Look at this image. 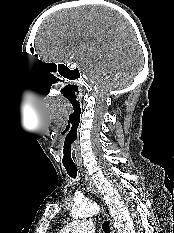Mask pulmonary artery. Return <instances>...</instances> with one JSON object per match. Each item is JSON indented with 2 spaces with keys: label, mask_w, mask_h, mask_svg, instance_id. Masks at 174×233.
Returning a JSON list of instances; mask_svg holds the SVG:
<instances>
[{
  "label": "pulmonary artery",
  "mask_w": 174,
  "mask_h": 233,
  "mask_svg": "<svg viewBox=\"0 0 174 233\" xmlns=\"http://www.w3.org/2000/svg\"><path fill=\"white\" fill-rule=\"evenodd\" d=\"M95 227L91 220H76L66 225L60 233H94Z\"/></svg>",
  "instance_id": "1"
}]
</instances>
